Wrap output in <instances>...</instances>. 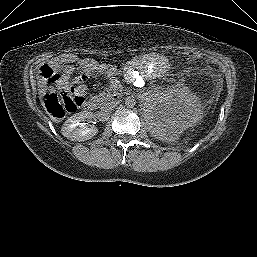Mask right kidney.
Instances as JSON below:
<instances>
[{
    "mask_svg": "<svg viewBox=\"0 0 257 257\" xmlns=\"http://www.w3.org/2000/svg\"><path fill=\"white\" fill-rule=\"evenodd\" d=\"M93 118V113L82 111L69 117L62 126V135L72 141H86L94 137L98 133L95 126H88L86 119Z\"/></svg>",
    "mask_w": 257,
    "mask_h": 257,
    "instance_id": "right-kidney-1",
    "label": "right kidney"
}]
</instances>
